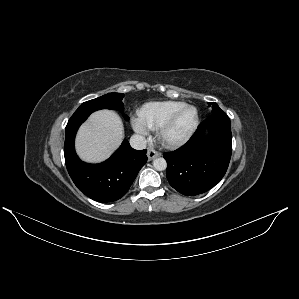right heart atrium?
I'll return each instance as SVG.
<instances>
[{
	"instance_id": "obj_1",
	"label": "right heart atrium",
	"mask_w": 299,
	"mask_h": 299,
	"mask_svg": "<svg viewBox=\"0 0 299 299\" xmlns=\"http://www.w3.org/2000/svg\"><path fill=\"white\" fill-rule=\"evenodd\" d=\"M132 128L139 135L145 136L149 133V128L141 121L140 118L133 117L131 119Z\"/></svg>"
}]
</instances>
